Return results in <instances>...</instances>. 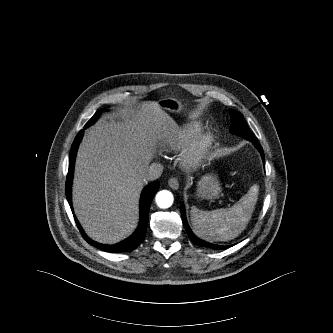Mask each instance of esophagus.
Returning a JSON list of instances; mask_svg holds the SVG:
<instances>
[{
  "label": "esophagus",
  "instance_id": "34e87169",
  "mask_svg": "<svg viewBox=\"0 0 333 333\" xmlns=\"http://www.w3.org/2000/svg\"><path fill=\"white\" fill-rule=\"evenodd\" d=\"M168 185L173 189V190H177L179 188V181L177 178L172 177L169 179L168 181Z\"/></svg>",
  "mask_w": 333,
  "mask_h": 333
}]
</instances>
